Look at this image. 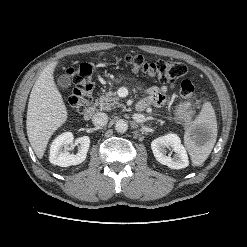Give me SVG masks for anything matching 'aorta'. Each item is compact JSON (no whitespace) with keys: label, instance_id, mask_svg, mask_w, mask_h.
Here are the masks:
<instances>
[{"label":"aorta","instance_id":"1","mask_svg":"<svg viewBox=\"0 0 247 247\" xmlns=\"http://www.w3.org/2000/svg\"><path fill=\"white\" fill-rule=\"evenodd\" d=\"M115 129L118 133H124L128 129V123L125 120L120 119L116 122Z\"/></svg>","mask_w":247,"mask_h":247}]
</instances>
